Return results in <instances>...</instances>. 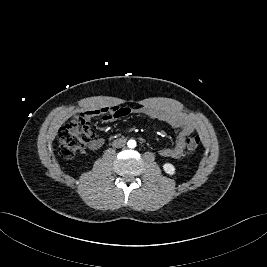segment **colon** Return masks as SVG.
Returning a JSON list of instances; mask_svg holds the SVG:
<instances>
[{"label": "colon", "instance_id": "1", "mask_svg": "<svg viewBox=\"0 0 267 267\" xmlns=\"http://www.w3.org/2000/svg\"><path fill=\"white\" fill-rule=\"evenodd\" d=\"M94 137L93 123L90 118L79 117L61 127L58 131V152L64 159L73 158ZM200 144L198 136L186 138V148L189 152H195Z\"/></svg>", "mask_w": 267, "mask_h": 267}]
</instances>
